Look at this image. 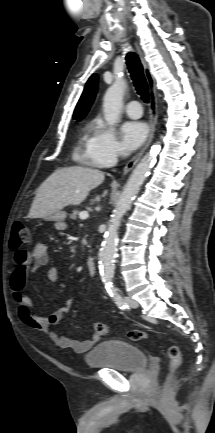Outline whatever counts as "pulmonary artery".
<instances>
[{"instance_id": "1", "label": "pulmonary artery", "mask_w": 215, "mask_h": 433, "mask_svg": "<svg viewBox=\"0 0 215 433\" xmlns=\"http://www.w3.org/2000/svg\"><path fill=\"white\" fill-rule=\"evenodd\" d=\"M125 111L131 118H139L142 115V106L139 101L133 100L126 104Z\"/></svg>"}]
</instances>
